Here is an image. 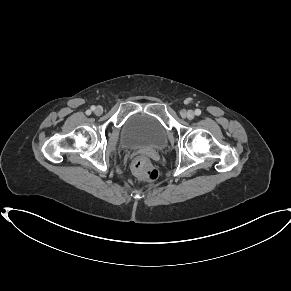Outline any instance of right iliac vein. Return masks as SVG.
<instances>
[{"mask_svg":"<svg viewBox=\"0 0 291 291\" xmlns=\"http://www.w3.org/2000/svg\"><path fill=\"white\" fill-rule=\"evenodd\" d=\"M102 112H103V109H102V107H100V106L96 107L95 110H94V113H95L96 115H101Z\"/></svg>","mask_w":291,"mask_h":291,"instance_id":"right-iliac-vein-1","label":"right iliac vein"}]
</instances>
